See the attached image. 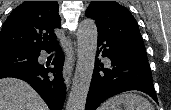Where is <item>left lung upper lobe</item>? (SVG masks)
<instances>
[{
    "label": "left lung upper lobe",
    "instance_id": "left-lung-upper-lobe-1",
    "mask_svg": "<svg viewBox=\"0 0 171 110\" xmlns=\"http://www.w3.org/2000/svg\"><path fill=\"white\" fill-rule=\"evenodd\" d=\"M86 15L95 20L98 37L147 57L138 24L127 8L115 1H92Z\"/></svg>",
    "mask_w": 171,
    "mask_h": 110
}]
</instances>
